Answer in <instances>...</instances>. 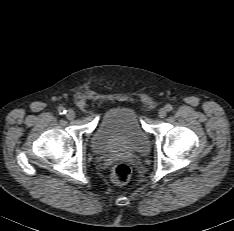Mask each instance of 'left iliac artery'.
I'll use <instances>...</instances> for the list:
<instances>
[{
  "label": "left iliac artery",
  "mask_w": 234,
  "mask_h": 231,
  "mask_svg": "<svg viewBox=\"0 0 234 231\" xmlns=\"http://www.w3.org/2000/svg\"><path fill=\"white\" fill-rule=\"evenodd\" d=\"M165 109H166V111L170 112V111L173 109V107H172V105L167 104V105L165 106Z\"/></svg>",
  "instance_id": "obj_1"
}]
</instances>
